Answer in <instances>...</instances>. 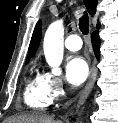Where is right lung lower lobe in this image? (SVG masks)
I'll return each mask as SVG.
<instances>
[{"label": "right lung lower lobe", "instance_id": "right-lung-lower-lobe-1", "mask_svg": "<svg viewBox=\"0 0 118 123\" xmlns=\"http://www.w3.org/2000/svg\"><path fill=\"white\" fill-rule=\"evenodd\" d=\"M91 39H92V44H93V49H94L95 55L98 59L100 56V39L98 36V31H95L92 34Z\"/></svg>", "mask_w": 118, "mask_h": 123}]
</instances>
